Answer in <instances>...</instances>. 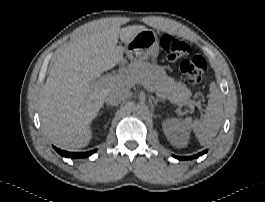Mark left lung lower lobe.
Segmentation results:
<instances>
[{
    "label": "left lung lower lobe",
    "instance_id": "1",
    "mask_svg": "<svg viewBox=\"0 0 265 202\" xmlns=\"http://www.w3.org/2000/svg\"><path fill=\"white\" fill-rule=\"evenodd\" d=\"M206 152H207V150H205L203 152H200V153H198V154H196L194 156L185 157L184 159H194V158H198L199 156L205 154ZM174 157L177 158V159H179V160L181 159V158H179L177 156H174Z\"/></svg>",
    "mask_w": 265,
    "mask_h": 202
}]
</instances>
